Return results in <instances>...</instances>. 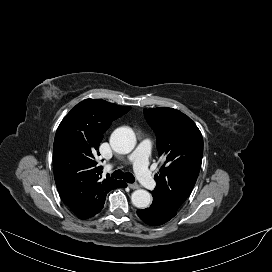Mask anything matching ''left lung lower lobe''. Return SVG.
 Here are the masks:
<instances>
[{
    "label": "left lung lower lobe",
    "instance_id": "left-lung-lower-lobe-1",
    "mask_svg": "<svg viewBox=\"0 0 272 272\" xmlns=\"http://www.w3.org/2000/svg\"><path fill=\"white\" fill-rule=\"evenodd\" d=\"M176 211L162 201L153 198L151 206L143 210H137V214L148 225L159 226L172 219L176 215Z\"/></svg>",
    "mask_w": 272,
    "mask_h": 272
}]
</instances>
